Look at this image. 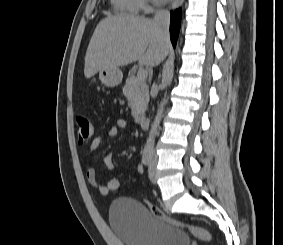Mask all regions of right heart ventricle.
Instances as JSON below:
<instances>
[{"mask_svg": "<svg viewBox=\"0 0 283 245\" xmlns=\"http://www.w3.org/2000/svg\"><path fill=\"white\" fill-rule=\"evenodd\" d=\"M116 11L128 15H136L140 7L139 0H111Z\"/></svg>", "mask_w": 283, "mask_h": 245, "instance_id": "right-heart-ventricle-1", "label": "right heart ventricle"}]
</instances>
